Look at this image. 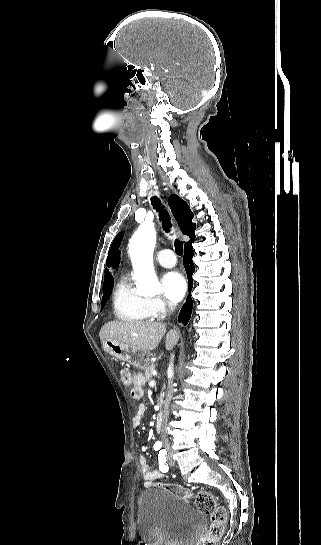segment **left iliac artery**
<instances>
[{"label": "left iliac artery", "mask_w": 321, "mask_h": 545, "mask_svg": "<svg viewBox=\"0 0 321 545\" xmlns=\"http://www.w3.org/2000/svg\"><path fill=\"white\" fill-rule=\"evenodd\" d=\"M166 450L162 449L159 451L158 460H159V468L162 472H166L168 470V466L166 463Z\"/></svg>", "instance_id": "1"}]
</instances>
